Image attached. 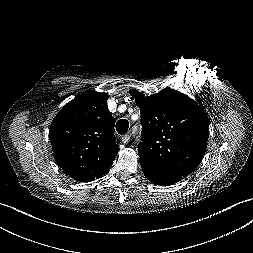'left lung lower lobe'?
<instances>
[{"mask_svg": "<svg viewBox=\"0 0 253 253\" xmlns=\"http://www.w3.org/2000/svg\"><path fill=\"white\" fill-rule=\"evenodd\" d=\"M140 164L146 178L150 180L152 183L157 185L168 186L178 182L180 179L184 177L174 173L158 171L141 160Z\"/></svg>", "mask_w": 253, "mask_h": 253, "instance_id": "left-lung-lower-lobe-1", "label": "left lung lower lobe"}]
</instances>
